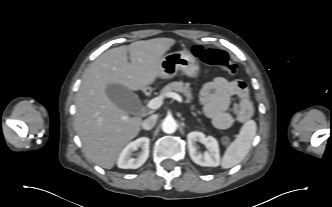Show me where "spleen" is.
I'll list each match as a JSON object with an SVG mask.
<instances>
[{"instance_id":"obj_1","label":"spleen","mask_w":332,"mask_h":207,"mask_svg":"<svg viewBox=\"0 0 332 207\" xmlns=\"http://www.w3.org/2000/svg\"><path fill=\"white\" fill-rule=\"evenodd\" d=\"M256 123L254 120L247 121L241 128L237 138L226 149L221 165L224 169L239 164L248 154L251 144L256 135Z\"/></svg>"}]
</instances>
